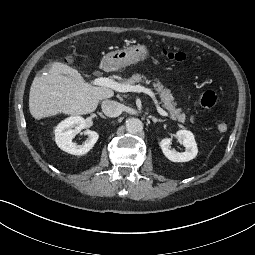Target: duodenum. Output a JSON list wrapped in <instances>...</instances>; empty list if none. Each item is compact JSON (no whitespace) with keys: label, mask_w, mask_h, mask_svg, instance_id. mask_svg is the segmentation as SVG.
Instances as JSON below:
<instances>
[{"label":"duodenum","mask_w":255,"mask_h":255,"mask_svg":"<svg viewBox=\"0 0 255 255\" xmlns=\"http://www.w3.org/2000/svg\"><path fill=\"white\" fill-rule=\"evenodd\" d=\"M107 68V64L105 63L103 66H102V70L105 71Z\"/></svg>","instance_id":"duodenum-1"}]
</instances>
